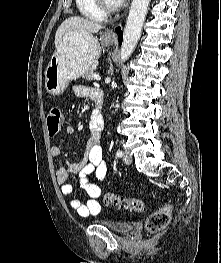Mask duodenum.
Returning <instances> with one entry per match:
<instances>
[{
    "mask_svg": "<svg viewBox=\"0 0 221 263\" xmlns=\"http://www.w3.org/2000/svg\"><path fill=\"white\" fill-rule=\"evenodd\" d=\"M95 103V110L92 115V121L97 128L103 127L102 119V105H103V95L102 93H96L93 96Z\"/></svg>",
    "mask_w": 221,
    "mask_h": 263,
    "instance_id": "410a0bca",
    "label": "duodenum"
}]
</instances>
